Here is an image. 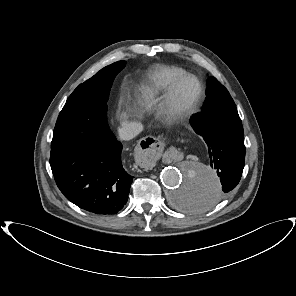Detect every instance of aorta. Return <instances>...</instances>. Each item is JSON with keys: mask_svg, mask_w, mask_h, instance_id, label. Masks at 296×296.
Listing matches in <instances>:
<instances>
[{"mask_svg": "<svg viewBox=\"0 0 296 296\" xmlns=\"http://www.w3.org/2000/svg\"><path fill=\"white\" fill-rule=\"evenodd\" d=\"M166 197L172 208L182 213H206L221 198V183L215 172L201 163L166 167L161 173Z\"/></svg>", "mask_w": 296, "mask_h": 296, "instance_id": "obj_1", "label": "aorta"}]
</instances>
